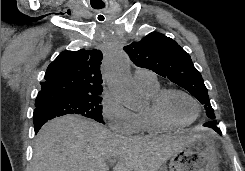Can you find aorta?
I'll use <instances>...</instances> for the list:
<instances>
[{
  "label": "aorta",
  "instance_id": "762f6f07",
  "mask_svg": "<svg viewBox=\"0 0 245 171\" xmlns=\"http://www.w3.org/2000/svg\"><path fill=\"white\" fill-rule=\"evenodd\" d=\"M105 82L119 101L128 109L139 110L143 106L140 92L130 75V60L119 52L104 68Z\"/></svg>",
  "mask_w": 245,
  "mask_h": 171
}]
</instances>
